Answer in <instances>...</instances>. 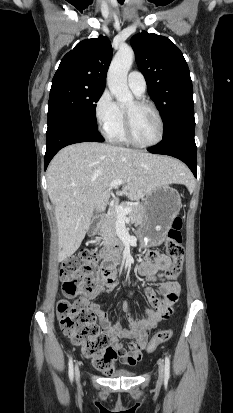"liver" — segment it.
Here are the masks:
<instances>
[{"label": "liver", "mask_w": 233, "mask_h": 413, "mask_svg": "<svg viewBox=\"0 0 233 413\" xmlns=\"http://www.w3.org/2000/svg\"><path fill=\"white\" fill-rule=\"evenodd\" d=\"M188 169L181 162L139 150L97 142H82L60 150L47 169L48 194L55 207L58 260L80 247L96 209L103 212L110 196V182L123 180L130 200H144L156 187L183 183Z\"/></svg>", "instance_id": "obj_1"}]
</instances>
